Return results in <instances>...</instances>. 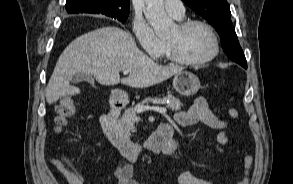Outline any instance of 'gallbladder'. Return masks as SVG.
<instances>
[{"label":"gallbladder","instance_id":"bac80fb5","mask_svg":"<svg viewBox=\"0 0 293 184\" xmlns=\"http://www.w3.org/2000/svg\"><path fill=\"white\" fill-rule=\"evenodd\" d=\"M82 81H87V82H89L91 84H94V79L88 73H77L71 79V82L73 84H78V83H80Z\"/></svg>","mask_w":293,"mask_h":184}]
</instances>
